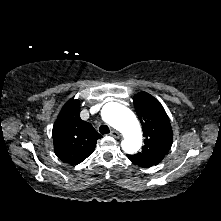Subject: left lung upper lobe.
Listing matches in <instances>:
<instances>
[{
    "label": "left lung upper lobe",
    "instance_id": "obj_1",
    "mask_svg": "<svg viewBox=\"0 0 221 221\" xmlns=\"http://www.w3.org/2000/svg\"><path fill=\"white\" fill-rule=\"evenodd\" d=\"M134 107L143 128L142 151L128 158L141 167L159 164L172 145V128L160 102L146 92L133 97Z\"/></svg>",
    "mask_w": 221,
    "mask_h": 221
}]
</instances>
